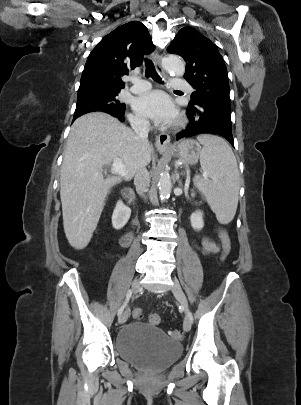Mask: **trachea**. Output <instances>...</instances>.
Instances as JSON below:
<instances>
[{
  "instance_id": "obj_1",
  "label": "trachea",
  "mask_w": 301,
  "mask_h": 405,
  "mask_svg": "<svg viewBox=\"0 0 301 405\" xmlns=\"http://www.w3.org/2000/svg\"><path fill=\"white\" fill-rule=\"evenodd\" d=\"M145 76L146 77H151L153 80L162 83L161 78L158 76V73L156 72L155 66L153 62L145 58Z\"/></svg>"
}]
</instances>
